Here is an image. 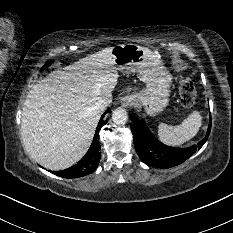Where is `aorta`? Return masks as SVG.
Listing matches in <instances>:
<instances>
[{
  "label": "aorta",
  "mask_w": 233,
  "mask_h": 233,
  "mask_svg": "<svg viewBox=\"0 0 233 233\" xmlns=\"http://www.w3.org/2000/svg\"><path fill=\"white\" fill-rule=\"evenodd\" d=\"M128 119V114L126 110L119 108L113 111L112 120L117 125L125 124Z\"/></svg>",
  "instance_id": "aorta-1"
}]
</instances>
